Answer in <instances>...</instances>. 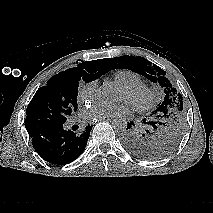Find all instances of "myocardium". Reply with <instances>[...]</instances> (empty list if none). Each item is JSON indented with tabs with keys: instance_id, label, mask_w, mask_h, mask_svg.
I'll return each instance as SVG.
<instances>
[{
	"instance_id": "1",
	"label": "myocardium",
	"mask_w": 213,
	"mask_h": 213,
	"mask_svg": "<svg viewBox=\"0 0 213 213\" xmlns=\"http://www.w3.org/2000/svg\"><path fill=\"white\" fill-rule=\"evenodd\" d=\"M128 95V102L137 112H146L151 110L156 103V98L152 87L139 83L133 86L122 88ZM141 96V98H139Z\"/></svg>"
}]
</instances>
